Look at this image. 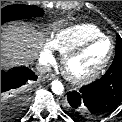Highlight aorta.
Returning a JSON list of instances; mask_svg holds the SVG:
<instances>
[{
    "label": "aorta",
    "instance_id": "aorta-1",
    "mask_svg": "<svg viewBox=\"0 0 122 122\" xmlns=\"http://www.w3.org/2000/svg\"><path fill=\"white\" fill-rule=\"evenodd\" d=\"M51 89H52L54 94L61 95V94H63L64 86L60 81L54 80L52 82Z\"/></svg>",
    "mask_w": 122,
    "mask_h": 122
}]
</instances>
